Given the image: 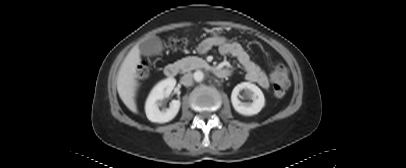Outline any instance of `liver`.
Listing matches in <instances>:
<instances>
[{"label":"liver","mask_w":406,"mask_h":168,"mask_svg":"<svg viewBox=\"0 0 406 168\" xmlns=\"http://www.w3.org/2000/svg\"><path fill=\"white\" fill-rule=\"evenodd\" d=\"M140 50L134 46L125 57L117 76V91L127 108L137 113L135 101L138 82L136 80L137 66L140 64Z\"/></svg>","instance_id":"liver-1"}]
</instances>
